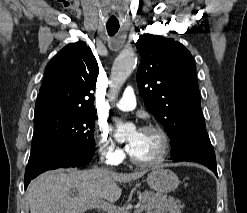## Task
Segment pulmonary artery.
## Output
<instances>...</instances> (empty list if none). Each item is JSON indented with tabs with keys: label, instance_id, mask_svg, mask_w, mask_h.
<instances>
[{
	"label": "pulmonary artery",
	"instance_id": "obj_1",
	"mask_svg": "<svg viewBox=\"0 0 247 213\" xmlns=\"http://www.w3.org/2000/svg\"><path fill=\"white\" fill-rule=\"evenodd\" d=\"M116 107L123 111H130L136 107L135 91L132 87L124 90L122 98L116 103Z\"/></svg>",
	"mask_w": 247,
	"mask_h": 213
}]
</instances>
